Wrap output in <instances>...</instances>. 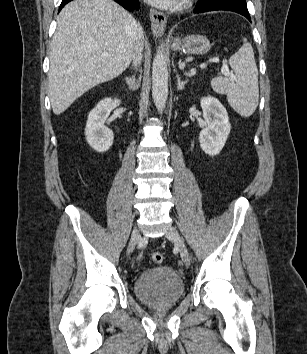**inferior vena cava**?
Instances as JSON below:
<instances>
[{
  "instance_id": "1",
  "label": "inferior vena cava",
  "mask_w": 307,
  "mask_h": 354,
  "mask_svg": "<svg viewBox=\"0 0 307 354\" xmlns=\"http://www.w3.org/2000/svg\"><path fill=\"white\" fill-rule=\"evenodd\" d=\"M139 43L136 47L134 56H133V65L137 67V65H140L141 60H142V50H143V45H144V36L143 32L140 33L139 36Z\"/></svg>"
}]
</instances>
